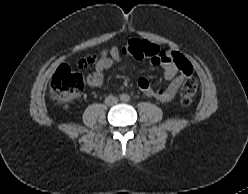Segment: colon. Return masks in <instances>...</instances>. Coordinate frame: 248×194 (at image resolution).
<instances>
[{"label": "colon", "instance_id": "1", "mask_svg": "<svg viewBox=\"0 0 248 194\" xmlns=\"http://www.w3.org/2000/svg\"><path fill=\"white\" fill-rule=\"evenodd\" d=\"M157 47L147 41H131V55L141 59L152 57L157 52ZM176 59L182 60L180 54L176 53ZM96 64L94 56H87L80 60L78 67L86 69ZM187 75L191 74V66L185 68ZM85 81L81 73L73 70L68 65H61L57 68L50 81V94L52 100L57 104H64L78 96L84 89ZM197 82L193 78H188L180 92V102L184 106H189L195 100L197 94Z\"/></svg>", "mask_w": 248, "mask_h": 194}]
</instances>
